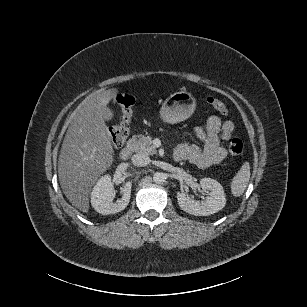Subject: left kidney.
<instances>
[{
	"label": "left kidney",
	"instance_id": "1",
	"mask_svg": "<svg viewBox=\"0 0 307 307\" xmlns=\"http://www.w3.org/2000/svg\"><path fill=\"white\" fill-rule=\"evenodd\" d=\"M202 189L209 190L210 196L202 202L195 201L185 193H178L177 199L180 208L192 215L208 216L221 210L226 204V198L221 184L211 178L200 180Z\"/></svg>",
	"mask_w": 307,
	"mask_h": 307
}]
</instances>
